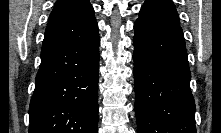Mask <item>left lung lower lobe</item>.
<instances>
[{
	"instance_id": "0a47b994",
	"label": "left lung lower lobe",
	"mask_w": 221,
	"mask_h": 133,
	"mask_svg": "<svg viewBox=\"0 0 221 133\" xmlns=\"http://www.w3.org/2000/svg\"><path fill=\"white\" fill-rule=\"evenodd\" d=\"M134 30L137 132L196 133L182 29L137 20Z\"/></svg>"
}]
</instances>
